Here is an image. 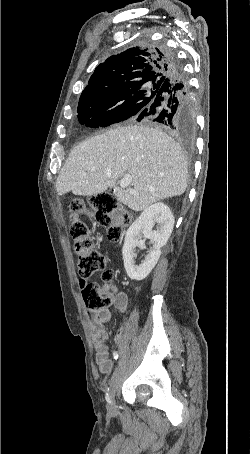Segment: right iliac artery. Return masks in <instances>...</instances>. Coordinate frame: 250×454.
Listing matches in <instances>:
<instances>
[{"mask_svg": "<svg viewBox=\"0 0 250 454\" xmlns=\"http://www.w3.org/2000/svg\"><path fill=\"white\" fill-rule=\"evenodd\" d=\"M113 356H114V359H117V358H118V356H119V355H118V352H117V351H115V352L113 353Z\"/></svg>", "mask_w": 250, "mask_h": 454, "instance_id": "obj_1", "label": "right iliac artery"}]
</instances>
